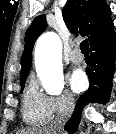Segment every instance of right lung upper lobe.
<instances>
[{"label": "right lung upper lobe", "mask_w": 116, "mask_h": 134, "mask_svg": "<svg viewBox=\"0 0 116 134\" xmlns=\"http://www.w3.org/2000/svg\"><path fill=\"white\" fill-rule=\"evenodd\" d=\"M64 22L71 33L87 36L90 45L114 29L111 9L106 0H68L62 10ZM44 15L36 17L25 34L21 57L20 80L26 79L32 64V49L37 37L46 29Z\"/></svg>", "instance_id": "obj_1"}]
</instances>
